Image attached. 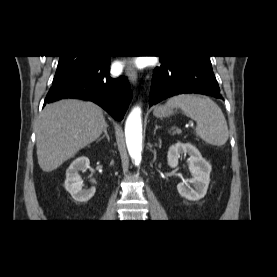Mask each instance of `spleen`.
<instances>
[{
  "label": "spleen",
  "mask_w": 277,
  "mask_h": 277,
  "mask_svg": "<svg viewBox=\"0 0 277 277\" xmlns=\"http://www.w3.org/2000/svg\"><path fill=\"white\" fill-rule=\"evenodd\" d=\"M167 106L178 107L196 121V134L206 143L224 145L229 136L228 126L222 110L209 97L182 94L170 98Z\"/></svg>",
  "instance_id": "3e777b00"
}]
</instances>
